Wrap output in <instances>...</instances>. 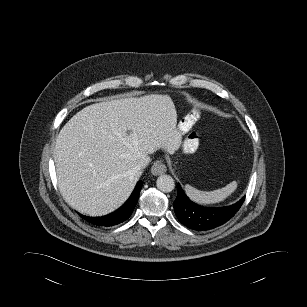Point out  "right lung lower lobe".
Instances as JSON below:
<instances>
[{"mask_svg": "<svg viewBox=\"0 0 307 307\" xmlns=\"http://www.w3.org/2000/svg\"><path fill=\"white\" fill-rule=\"evenodd\" d=\"M141 188H142V181H139L134 191L132 192L130 198L127 200V202L122 207H120L118 210H116L115 212L109 215H106L103 217L92 218V217L83 216L79 213L78 214L80 215V217H82L83 219L91 223L92 225H95L98 227H110V226L118 225L119 223L124 222L131 216L135 208V205L138 201V197H139Z\"/></svg>", "mask_w": 307, "mask_h": 307, "instance_id": "98d812e1", "label": "right lung lower lobe"}]
</instances>
